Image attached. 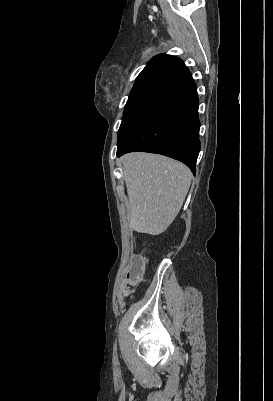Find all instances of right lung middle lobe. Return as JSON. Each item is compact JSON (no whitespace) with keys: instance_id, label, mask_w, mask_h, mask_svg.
<instances>
[{"instance_id":"dd1d6c3e","label":"right lung middle lobe","mask_w":273,"mask_h":401,"mask_svg":"<svg viewBox=\"0 0 273 401\" xmlns=\"http://www.w3.org/2000/svg\"><path fill=\"white\" fill-rule=\"evenodd\" d=\"M169 97L156 94L130 96L125 105L122 123L118 131L119 148L135 129L157 110Z\"/></svg>"}]
</instances>
